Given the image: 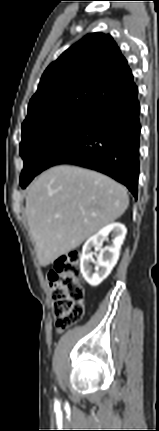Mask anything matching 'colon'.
Masks as SVG:
<instances>
[{"label": "colon", "instance_id": "5ec220e1", "mask_svg": "<svg viewBox=\"0 0 159 431\" xmlns=\"http://www.w3.org/2000/svg\"><path fill=\"white\" fill-rule=\"evenodd\" d=\"M81 254L71 251L60 256L48 273L56 325L66 329L80 321L84 288L80 279Z\"/></svg>", "mask_w": 159, "mask_h": 431}]
</instances>
